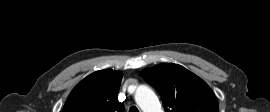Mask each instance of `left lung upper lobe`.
I'll list each match as a JSON object with an SVG mask.
<instances>
[{"label":"left lung upper lobe","mask_w":270,"mask_h":112,"mask_svg":"<svg viewBox=\"0 0 270 112\" xmlns=\"http://www.w3.org/2000/svg\"><path fill=\"white\" fill-rule=\"evenodd\" d=\"M141 75L160 93L165 112H219L211 88L178 64L162 63Z\"/></svg>","instance_id":"5c2ea615"}]
</instances>
